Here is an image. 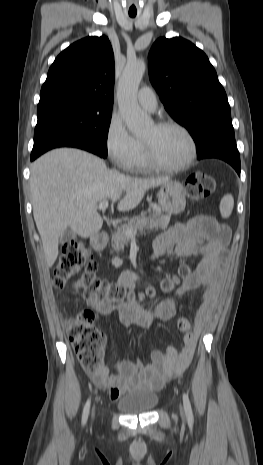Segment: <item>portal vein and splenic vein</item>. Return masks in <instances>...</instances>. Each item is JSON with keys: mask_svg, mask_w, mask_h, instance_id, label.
Returning a JSON list of instances; mask_svg holds the SVG:
<instances>
[{"mask_svg": "<svg viewBox=\"0 0 263 465\" xmlns=\"http://www.w3.org/2000/svg\"><path fill=\"white\" fill-rule=\"evenodd\" d=\"M107 207H108V200H104V201L100 202L99 205H98V209L102 210V211L106 210ZM136 232H137V229L135 231L127 230L126 234L128 236H131L132 238H135Z\"/></svg>", "mask_w": 263, "mask_h": 465, "instance_id": "18ae733b", "label": "portal vein and splenic vein"}]
</instances>
